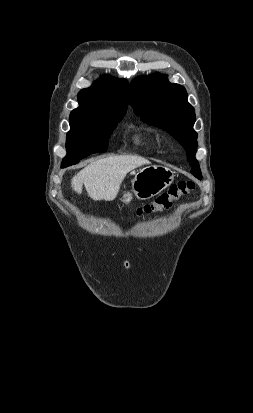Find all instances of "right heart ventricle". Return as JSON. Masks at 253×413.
<instances>
[{"label":"right heart ventricle","mask_w":253,"mask_h":413,"mask_svg":"<svg viewBox=\"0 0 253 413\" xmlns=\"http://www.w3.org/2000/svg\"><path fill=\"white\" fill-rule=\"evenodd\" d=\"M132 140L133 143L139 147H149L153 142V138L143 132L135 133L132 137Z\"/></svg>","instance_id":"right-heart-ventricle-1"}]
</instances>
